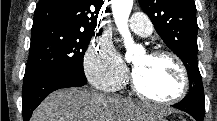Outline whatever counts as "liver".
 Instances as JSON below:
<instances>
[{
	"mask_svg": "<svg viewBox=\"0 0 217 121\" xmlns=\"http://www.w3.org/2000/svg\"><path fill=\"white\" fill-rule=\"evenodd\" d=\"M157 110L130 99L88 89L65 88L51 93L33 112L31 121H154Z\"/></svg>",
	"mask_w": 217,
	"mask_h": 121,
	"instance_id": "obj_1",
	"label": "liver"
}]
</instances>
